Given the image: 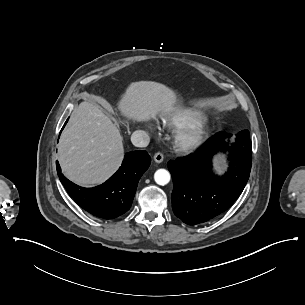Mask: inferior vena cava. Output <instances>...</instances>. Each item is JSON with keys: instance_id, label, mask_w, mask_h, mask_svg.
I'll return each mask as SVG.
<instances>
[{"instance_id": "inferior-vena-cava-1", "label": "inferior vena cava", "mask_w": 305, "mask_h": 305, "mask_svg": "<svg viewBox=\"0 0 305 305\" xmlns=\"http://www.w3.org/2000/svg\"><path fill=\"white\" fill-rule=\"evenodd\" d=\"M131 142L136 147H146L150 142V137L145 131L137 130L132 133Z\"/></svg>"}]
</instances>
